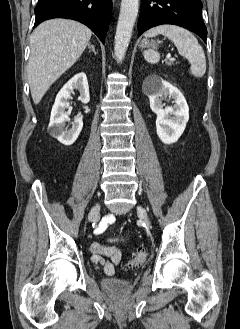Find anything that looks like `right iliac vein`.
<instances>
[{
	"label": "right iliac vein",
	"instance_id": "1",
	"mask_svg": "<svg viewBox=\"0 0 240 329\" xmlns=\"http://www.w3.org/2000/svg\"><path fill=\"white\" fill-rule=\"evenodd\" d=\"M100 213V204L97 203L96 205L93 206V208L89 212V220L93 221L95 220Z\"/></svg>",
	"mask_w": 240,
	"mask_h": 329
}]
</instances>
